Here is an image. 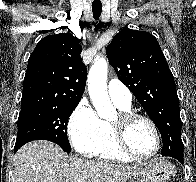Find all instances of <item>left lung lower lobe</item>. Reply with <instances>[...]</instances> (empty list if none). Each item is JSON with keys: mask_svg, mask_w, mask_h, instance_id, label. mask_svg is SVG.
<instances>
[{"mask_svg": "<svg viewBox=\"0 0 196 182\" xmlns=\"http://www.w3.org/2000/svg\"><path fill=\"white\" fill-rule=\"evenodd\" d=\"M165 156L173 157V158L179 160L182 164L184 163L183 154L178 153L177 151L165 152Z\"/></svg>", "mask_w": 196, "mask_h": 182, "instance_id": "1", "label": "left lung lower lobe"}]
</instances>
